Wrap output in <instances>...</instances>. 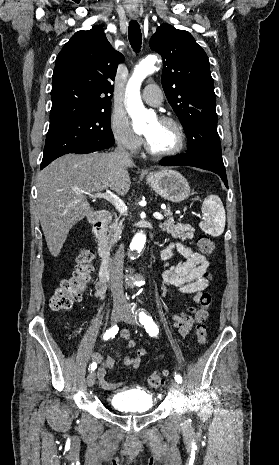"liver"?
<instances>
[{"instance_id":"obj_1","label":"liver","mask_w":279,"mask_h":465,"mask_svg":"<svg viewBox=\"0 0 279 465\" xmlns=\"http://www.w3.org/2000/svg\"><path fill=\"white\" fill-rule=\"evenodd\" d=\"M127 161L112 153L67 154L44 168L37 179V213L52 256L57 257L70 229L94 214L87 194L110 188L118 195L130 189Z\"/></svg>"}]
</instances>
